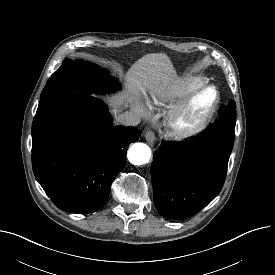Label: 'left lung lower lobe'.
Listing matches in <instances>:
<instances>
[{
    "instance_id": "1",
    "label": "left lung lower lobe",
    "mask_w": 275,
    "mask_h": 275,
    "mask_svg": "<svg viewBox=\"0 0 275 275\" xmlns=\"http://www.w3.org/2000/svg\"><path fill=\"white\" fill-rule=\"evenodd\" d=\"M219 120L197 137L181 142H162L151 165L154 204L167 219L191 217L208 205L225 182L233 149L235 126Z\"/></svg>"
}]
</instances>
